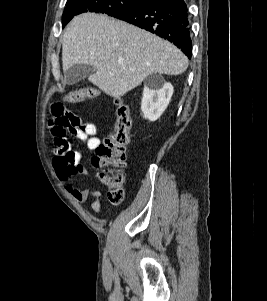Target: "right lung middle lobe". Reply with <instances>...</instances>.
Instances as JSON below:
<instances>
[{"instance_id": "obj_1", "label": "right lung middle lobe", "mask_w": 267, "mask_h": 301, "mask_svg": "<svg viewBox=\"0 0 267 301\" xmlns=\"http://www.w3.org/2000/svg\"><path fill=\"white\" fill-rule=\"evenodd\" d=\"M142 0H67L62 16L63 27L75 16L83 12L106 13L115 16L143 4Z\"/></svg>"}]
</instances>
